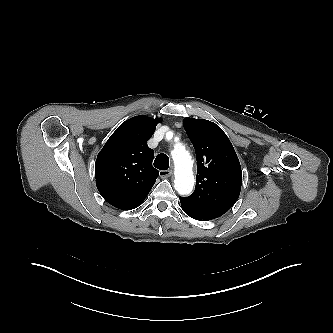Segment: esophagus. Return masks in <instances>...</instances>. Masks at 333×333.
Wrapping results in <instances>:
<instances>
[{"label":"esophagus","mask_w":333,"mask_h":333,"mask_svg":"<svg viewBox=\"0 0 333 333\" xmlns=\"http://www.w3.org/2000/svg\"><path fill=\"white\" fill-rule=\"evenodd\" d=\"M172 173H173L172 170H161V171L159 172V176H160L161 178H168V177H170V176L172 175Z\"/></svg>","instance_id":"1"}]
</instances>
